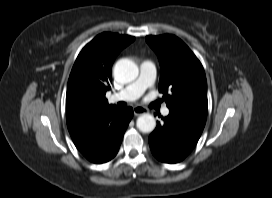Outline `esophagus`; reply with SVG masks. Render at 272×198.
<instances>
[{
  "label": "esophagus",
  "instance_id": "esophagus-1",
  "mask_svg": "<svg viewBox=\"0 0 272 198\" xmlns=\"http://www.w3.org/2000/svg\"><path fill=\"white\" fill-rule=\"evenodd\" d=\"M133 112H134L135 116H139L141 114H145L146 110L141 106H134L133 107Z\"/></svg>",
  "mask_w": 272,
  "mask_h": 198
}]
</instances>
